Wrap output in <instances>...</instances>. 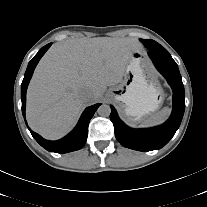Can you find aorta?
<instances>
[{
  "instance_id": "obj_1",
  "label": "aorta",
  "mask_w": 207,
  "mask_h": 207,
  "mask_svg": "<svg viewBox=\"0 0 207 207\" xmlns=\"http://www.w3.org/2000/svg\"><path fill=\"white\" fill-rule=\"evenodd\" d=\"M97 112L102 117H108L110 115V113H111V108L107 104H102L97 109Z\"/></svg>"
}]
</instances>
